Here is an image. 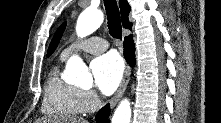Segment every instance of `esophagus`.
Listing matches in <instances>:
<instances>
[{
    "instance_id": "esophagus-1",
    "label": "esophagus",
    "mask_w": 221,
    "mask_h": 123,
    "mask_svg": "<svg viewBox=\"0 0 221 123\" xmlns=\"http://www.w3.org/2000/svg\"><path fill=\"white\" fill-rule=\"evenodd\" d=\"M130 76H131V68L129 66H127L123 79L120 83V86L118 88V90L116 91L115 95L112 97L111 101H110V106L114 107L117 102L120 100V98L122 97V95L124 94L127 85L129 83L130 80Z\"/></svg>"
}]
</instances>
